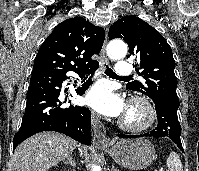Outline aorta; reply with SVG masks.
Returning a JSON list of instances; mask_svg holds the SVG:
<instances>
[{"label":"aorta","mask_w":199,"mask_h":171,"mask_svg":"<svg viewBox=\"0 0 199 171\" xmlns=\"http://www.w3.org/2000/svg\"><path fill=\"white\" fill-rule=\"evenodd\" d=\"M127 53V46L121 40H113L107 46V54L111 59H120ZM91 171H100L98 166H92Z\"/></svg>","instance_id":"obj_1"}]
</instances>
